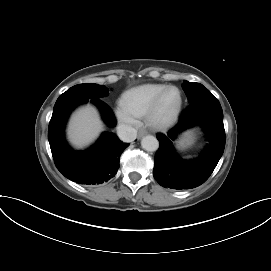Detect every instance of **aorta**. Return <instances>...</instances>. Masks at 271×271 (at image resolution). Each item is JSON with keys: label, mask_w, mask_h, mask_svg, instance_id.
Segmentation results:
<instances>
[{"label": "aorta", "mask_w": 271, "mask_h": 271, "mask_svg": "<svg viewBox=\"0 0 271 271\" xmlns=\"http://www.w3.org/2000/svg\"><path fill=\"white\" fill-rule=\"evenodd\" d=\"M141 146L146 151L153 152L159 148V141L157 140L156 137H154L152 135H147L142 138Z\"/></svg>", "instance_id": "obj_1"}]
</instances>
